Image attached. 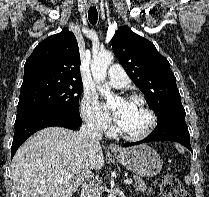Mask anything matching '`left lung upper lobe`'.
<instances>
[{"mask_svg":"<svg viewBox=\"0 0 209 197\" xmlns=\"http://www.w3.org/2000/svg\"><path fill=\"white\" fill-rule=\"evenodd\" d=\"M111 45L126 73L147 96L157 120L170 113L185 112L169 62L152 42L123 26L115 32Z\"/></svg>","mask_w":209,"mask_h":197,"instance_id":"1","label":"left lung upper lobe"}]
</instances>
